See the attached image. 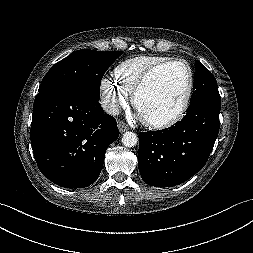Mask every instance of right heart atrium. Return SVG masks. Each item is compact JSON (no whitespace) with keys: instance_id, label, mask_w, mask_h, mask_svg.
Instances as JSON below:
<instances>
[{"instance_id":"1","label":"right heart atrium","mask_w":253,"mask_h":253,"mask_svg":"<svg viewBox=\"0 0 253 253\" xmlns=\"http://www.w3.org/2000/svg\"><path fill=\"white\" fill-rule=\"evenodd\" d=\"M102 105L110 114H116L120 107L127 105L128 93L125 92L115 81L105 77L100 82Z\"/></svg>"}]
</instances>
